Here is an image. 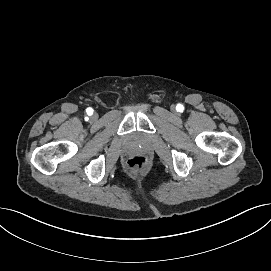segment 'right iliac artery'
<instances>
[{"instance_id":"82829eb1","label":"right iliac artery","mask_w":271,"mask_h":271,"mask_svg":"<svg viewBox=\"0 0 271 271\" xmlns=\"http://www.w3.org/2000/svg\"><path fill=\"white\" fill-rule=\"evenodd\" d=\"M87 114L92 115L93 114V109L92 108H87Z\"/></svg>"}]
</instances>
